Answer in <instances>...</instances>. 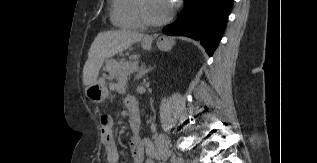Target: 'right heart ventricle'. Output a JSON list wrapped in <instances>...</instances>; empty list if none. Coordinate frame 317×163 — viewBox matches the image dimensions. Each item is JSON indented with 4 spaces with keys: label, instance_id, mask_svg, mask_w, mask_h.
Returning <instances> with one entry per match:
<instances>
[{
    "label": "right heart ventricle",
    "instance_id": "obj_1",
    "mask_svg": "<svg viewBox=\"0 0 317 163\" xmlns=\"http://www.w3.org/2000/svg\"><path fill=\"white\" fill-rule=\"evenodd\" d=\"M137 2L138 0H112V23L122 29H144L146 24L139 15Z\"/></svg>",
    "mask_w": 317,
    "mask_h": 163
}]
</instances>
